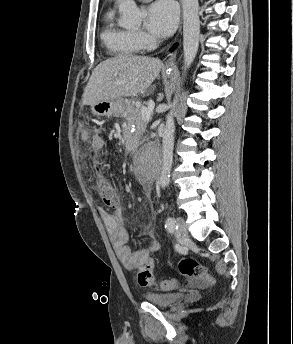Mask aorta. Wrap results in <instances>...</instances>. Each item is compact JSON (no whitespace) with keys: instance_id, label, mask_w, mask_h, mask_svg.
I'll use <instances>...</instances> for the list:
<instances>
[{"instance_id":"obj_1","label":"aorta","mask_w":293,"mask_h":344,"mask_svg":"<svg viewBox=\"0 0 293 344\" xmlns=\"http://www.w3.org/2000/svg\"><path fill=\"white\" fill-rule=\"evenodd\" d=\"M183 6V54L184 72L193 63L200 37V19L198 0H182ZM121 15L120 24L123 27H135L140 25L145 17V12L138 8L134 0H123L119 4ZM179 101V93L175 95L170 112L166 116L165 128L162 134V168L159 183L162 188L169 184V173L173 162L174 148V114ZM156 166V159L153 154L141 153L137 159V170L139 172H150Z\"/></svg>"}]
</instances>
